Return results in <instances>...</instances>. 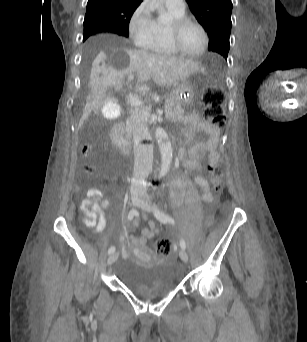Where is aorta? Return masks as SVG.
<instances>
[{
    "mask_svg": "<svg viewBox=\"0 0 307 342\" xmlns=\"http://www.w3.org/2000/svg\"><path fill=\"white\" fill-rule=\"evenodd\" d=\"M155 138H157V144L159 146L161 154V168L160 176H166L170 170L173 158L172 144L169 142L168 134H166L163 128H157L155 132Z\"/></svg>",
    "mask_w": 307,
    "mask_h": 342,
    "instance_id": "obj_1",
    "label": "aorta"
}]
</instances>
